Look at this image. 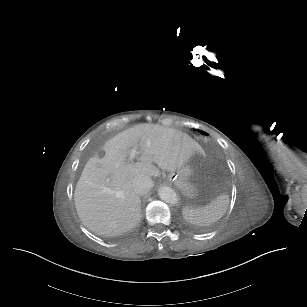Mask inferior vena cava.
<instances>
[{
    "mask_svg": "<svg viewBox=\"0 0 307 307\" xmlns=\"http://www.w3.org/2000/svg\"><path fill=\"white\" fill-rule=\"evenodd\" d=\"M154 187V181L148 177L140 175L133 182V191L137 195H145Z\"/></svg>",
    "mask_w": 307,
    "mask_h": 307,
    "instance_id": "1",
    "label": "inferior vena cava"
}]
</instances>
